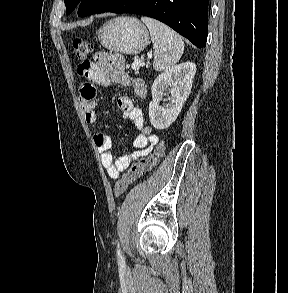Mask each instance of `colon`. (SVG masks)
I'll use <instances>...</instances> for the list:
<instances>
[{
    "instance_id": "obj_1",
    "label": "colon",
    "mask_w": 288,
    "mask_h": 293,
    "mask_svg": "<svg viewBox=\"0 0 288 293\" xmlns=\"http://www.w3.org/2000/svg\"><path fill=\"white\" fill-rule=\"evenodd\" d=\"M73 47L78 60L88 62V58L93 52V45L83 39L76 38L73 40ZM165 144L162 140L155 150L147 157L142 158L117 181L115 185V196H121L133 183L151 171L159 162L164 153Z\"/></svg>"
}]
</instances>
